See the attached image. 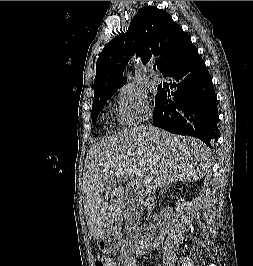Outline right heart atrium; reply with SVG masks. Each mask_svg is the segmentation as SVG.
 <instances>
[{
	"label": "right heart atrium",
	"mask_w": 253,
	"mask_h": 266,
	"mask_svg": "<svg viewBox=\"0 0 253 266\" xmlns=\"http://www.w3.org/2000/svg\"><path fill=\"white\" fill-rule=\"evenodd\" d=\"M118 113L126 125L147 119L150 106L145 91L133 84L122 86L118 92Z\"/></svg>",
	"instance_id": "obj_1"
}]
</instances>
